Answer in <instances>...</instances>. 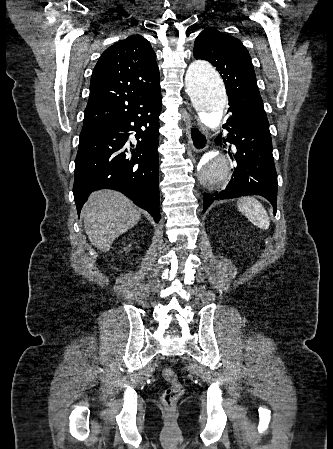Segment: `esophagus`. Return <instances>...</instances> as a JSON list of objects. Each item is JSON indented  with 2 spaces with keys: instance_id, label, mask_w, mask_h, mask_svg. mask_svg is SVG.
Masks as SVG:
<instances>
[{
  "instance_id": "34e87169",
  "label": "esophagus",
  "mask_w": 333,
  "mask_h": 449,
  "mask_svg": "<svg viewBox=\"0 0 333 449\" xmlns=\"http://www.w3.org/2000/svg\"><path fill=\"white\" fill-rule=\"evenodd\" d=\"M186 136L188 143L196 152H201L207 147V137L202 130V124L198 116L189 113L186 120Z\"/></svg>"
}]
</instances>
